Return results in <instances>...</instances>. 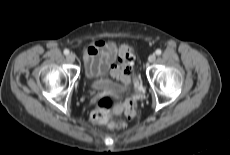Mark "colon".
I'll list each match as a JSON object with an SVG mask.
<instances>
[{
  "mask_svg": "<svg viewBox=\"0 0 230 155\" xmlns=\"http://www.w3.org/2000/svg\"><path fill=\"white\" fill-rule=\"evenodd\" d=\"M134 55L130 47H126L124 50V63L125 71L131 73V66L133 64ZM118 109V102L112 96H104L99 99L96 108L90 115V121L96 125L107 126L109 129L122 128V124L113 122L112 117L114 112ZM124 111L127 116L133 117L136 113V104L132 100H127L124 103Z\"/></svg>",
  "mask_w": 230,
  "mask_h": 155,
  "instance_id": "obj_1",
  "label": "colon"
}]
</instances>
